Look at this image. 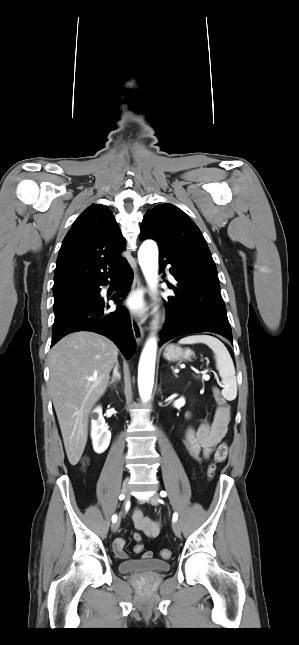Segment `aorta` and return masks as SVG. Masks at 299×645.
Here are the masks:
<instances>
[{"instance_id": "aorta-1", "label": "aorta", "mask_w": 299, "mask_h": 645, "mask_svg": "<svg viewBox=\"0 0 299 645\" xmlns=\"http://www.w3.org/2000/svg\"><path fill=\"white\" fill-rule=\"evenodd\" d=\"M138 260L144 277L150 287L155 288L158 283V247L152 240L143 242L138 251ZM157 352V340L151 336L142 351L138 367V388L143 401L151 398L155 360Z\"/></svg>"}]
</instances>
